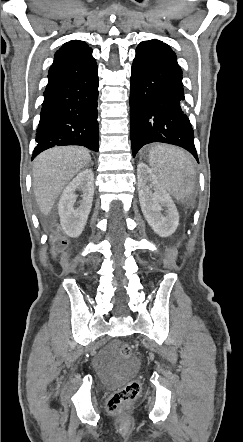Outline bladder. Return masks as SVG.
Listing matches in <instances>:
<instances>
[{"mask_svg": "<svg viewBox=\"0 0 243 442\" xmlns=\"http://www.w3.org/2000/svg\"><path fill=\"white\" fill-rule=\"evenodd\" d=\"M136 367H137L136 361L120 360L116 364L117 378L123 380L127 377H130L135 372Z\"/></svg>", "mask_w": 243, "mask_h": 442, "instance_id": "1", "label": "bladder"}]
</instances>
